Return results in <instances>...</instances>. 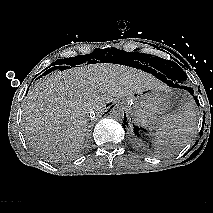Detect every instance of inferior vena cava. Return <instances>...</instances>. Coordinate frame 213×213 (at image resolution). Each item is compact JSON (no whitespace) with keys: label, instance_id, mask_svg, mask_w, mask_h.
Listing matches in <instances>:
<instances>
[{"label":"inferior vena cava","instance_id":"obj_1","mask_svg":"<svg viewBox=\"0 0 213 213\" xmlns=\"http://www.w3.org/2000/svg\"><path fill=\"white\" fill-rule=\"evenodd\" d=\"M89 116H90V118L94 119V118H96L97 115H96V113L94 111H91L89 113Z\"/></svg>","mask_w":213,"mask_h":213}]
</instances>
